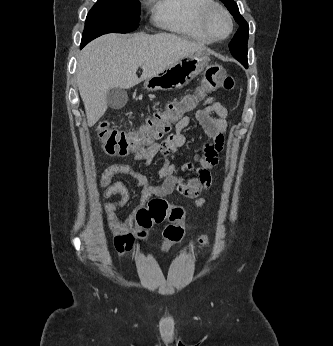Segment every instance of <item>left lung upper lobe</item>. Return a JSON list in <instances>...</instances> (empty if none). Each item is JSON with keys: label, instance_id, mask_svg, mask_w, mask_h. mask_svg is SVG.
Segmentation results:
<instances>
[{"label": "left lung upper lobe", "instance_id": "1", "mask_svg": "<svg viewBox=\"0 0 333 346\" xmlns=\"http://www.w3.org/2000/svg\"><path fill=\"white\" fill-rule=\"evenodd\" d=\"M225 4L229 12L234 16L239 24V29L229 44V49L234 58L247 67V41L249 35V26L246 20L240 15L238 6L234 0H220Z\"/></svg>", "mask_w": 333, "mask_h": 346}]
</instances>
